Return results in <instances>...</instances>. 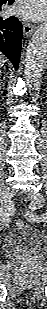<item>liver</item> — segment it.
<instances>
[{"label": "liver", "instance_id": "1", "mask_svg": "<svg viewBox=\"0 0 47 309\" xmlns=\"http://www.w3.org/2000/svg\"><path fill=\"white\" fill-rule=\"evenodd\" d=\"M5 58L3 57V55H0V66H2L5 63Z\"/></svg>", "mask_w": 47, "mask_h": 309}]
</instances>
